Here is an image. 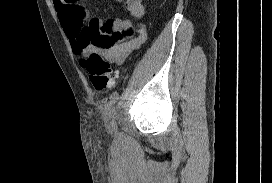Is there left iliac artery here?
Listing matches in <instances>:
<instances>
[{"label": "left iliac artery", "instance_id": "left-iliac-artery-1", "mask_svg": "<svg viewBox=\"0 0 272 183\" xmlns=\"http://www.w3.org/2000/svg\"><path fill=\"white\" fill-rule=\"evenodd\" d=\"M119 99V94L117 92L113 93L110 96V103L113 104Z\"/></svg>", "mask_w": 272, "mask_h": 183}]
</instances>
